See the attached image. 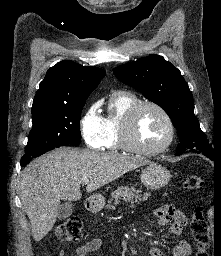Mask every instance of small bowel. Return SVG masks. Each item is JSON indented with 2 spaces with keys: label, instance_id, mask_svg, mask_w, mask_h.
Here are the masks:
<instances>
[{
  "label": "small bowel",
  "instance_id": "c3829d8e",
  "mask_svg": "<svg viewBox=\"0 0 221 256\" xmlns=\"http://www.w3.org/2000/svg\"><path fill=\"white\" fill-rule=\"evenodd\" d=\"M158 218V224L161 226L170 224L169 231L173 235H180L187 220L184 214L173 205H164L154 211ZM103 245V241L99 238L90 239L80 246L75 251V256H87L97 250ZM191 246L186 240H180L172 250L173 256H189L191 254ZM151 256H164L163 252L157 248L150 249ZM59 256H63L61 252Z\"/></svg>",
  "mask_w": 221,
  "mask_h": 256
}]
</instances>
